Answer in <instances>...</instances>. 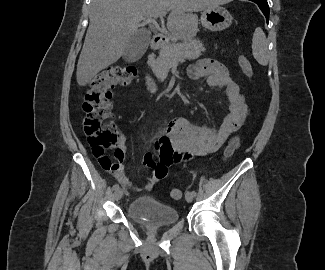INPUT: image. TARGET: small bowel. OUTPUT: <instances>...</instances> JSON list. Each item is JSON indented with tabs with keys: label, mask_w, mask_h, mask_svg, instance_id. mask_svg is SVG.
<instances>
[{
	"label": "small bowel",
	"mask_w": 325,
	"mask_h": 270,
	"mask_svg": "<svg viewBox=\"0 0 325 270\" xmlns=\"http://www.w3.org/2000/svg\"><path fill=\"white\" fill-rule=\"evenodd\" d=\"M189 77L193 80L206 78L210 87L224 88L227 95L228 113L217 126H194L183 118H176L169 122L165 137L155 146V152L143 155V164L152 171L148 182L142 187L149 191L167 174L168 168L181 159L188 160L194 156H205L219 150L230 135L238 130L245 121L248 107L238 85L231 80L225 67L218 62L202 60L193 64L189 69ZM125 136L120 135L114 158L119 161L116 168L104 169L111 171L116 179L126 188L134 189L133 184L123 173L126 160ZM155 155L160 159L158 164Z\"/></svg>",
	"instance_id": "1"
}]
</instances>
